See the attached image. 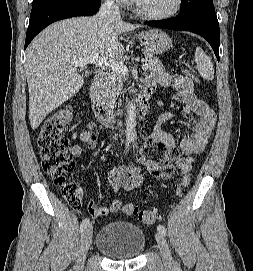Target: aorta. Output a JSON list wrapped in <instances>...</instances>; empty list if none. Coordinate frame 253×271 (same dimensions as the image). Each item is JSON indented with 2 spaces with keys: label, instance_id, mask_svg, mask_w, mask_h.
I'll return each mask as SVG.
<instances>
[{
  "label": "aorta",
  "instance_id": "1",
  "mask_svg": "<svg viewBox=\"0 0 253 271\" xmlns=\"http://www.w3.org/2000/svg\"><path fill=\"white\" fill-rule=\"evenodd\" d=\"M127 115H126V139L128 141H134L137 138L136 134V106L131 101L127 104L126 109Z\"/></svg>",
  "mask_w": 253,
  "mask_h": 271
}]
</instances>
